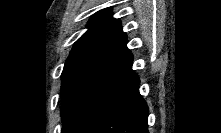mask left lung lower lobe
Instances as JSON below:
<instances>
[{
    "mask_svg": "<svg viewBox=\"0 0 221 133\" xmlns=\"http://www.w3.org/2000/svg\"><path fill=\"white\" fill-rule=\"evenodd\" d=\"M131 53L92 81L63 119L61 133H148V107L139 94Z\"/></svg>",
    "mask_w": 221,
    "mask_h": 133,
    "instance_id": "left-lung-lower-lobe-1",
    "label": "left lung lower lobe"
}]
</instances>
